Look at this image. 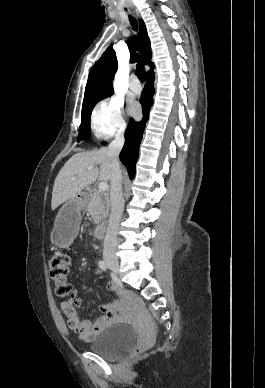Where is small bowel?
<instances>
[{
    "label": "small bowel",
    "instance_id": "c3829d8e",
    "mask_svg": "<svg viewBox=\"0 0 265 388\" xmlns=\"http://www.w3.org/2000/svg\"><path fill=\"white\" fill-rule=\"evenodd\" d=\"M108 289L114 292L115 300L100 306L102 315L94 323L80 319L76 308L81 305L82 298L77 290H73L70 299L61 303V310L66 317V321L59 320V330L66 332L69 329L75 332L80 340L91 341L107 325L124 321L126 315L123 310L129 303V296L114 282L108 284Z\"/></svg>",
    "mask_w": 265,
    "mask_h": 388
}]
</instances>
